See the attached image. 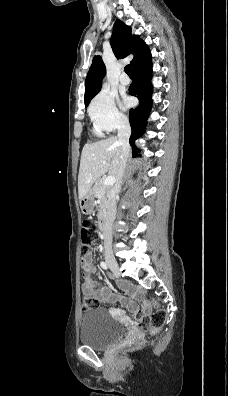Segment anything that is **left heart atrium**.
<instances>
[{"label":"left heart atrium","mask_w":228,"mask_h":396,"mask_svg":"<svg viewBox=\"0 0 228 396\" xmlns=\"http://www.w3.org/2000/svg\"><path fill=\"white\" fill-rule=\"evenodd\" d=\"M123 108H128L131 105V100L128 97H123L122 103Z\"/></svg>","instance_id":"obj_1"}]
</instances>
